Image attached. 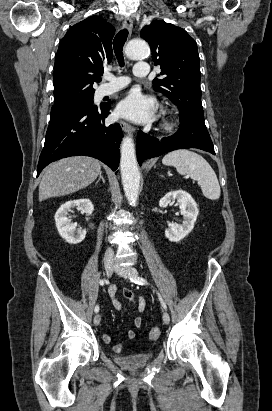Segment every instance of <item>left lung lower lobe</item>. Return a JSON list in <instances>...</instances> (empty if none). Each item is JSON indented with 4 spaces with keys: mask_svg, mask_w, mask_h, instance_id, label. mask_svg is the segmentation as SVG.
Segmentation results:
<instances>
[{
    "mask_svg": "<svg viewBox=\"0 0 272 411\" xmlns=\"http://www.w3.org/2000/svg\"><path fill=\"white\" fill-rule=\"evenodd\" d=\"M179 130L170 137L157 139L150 135L138 132L137 135V160L160 156L164 153L181 148H198L215 155L214 146L204 121H181Z\"/></svg>",
    "mask_w": 272,
    "mask_h": 411,
    "instance_id": "obj_1",
    "label": "left lung lower lobe"
}]
</instances>
